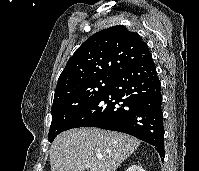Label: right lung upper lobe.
Wrapping results in <instances>:
<instances>
[{
    "mask_svg": "<svg viewBox=\"0 0 199 171\" xmlns=\"http://www.w3.org/2000/svg\"><path fill=\"white\" fill-rule=\"evenodd\" d=\"M151 56L147 44L123 25L101 30L89 37L68 60L59 76L54 100L81 83L100 76H117Z\"/></svg>",
    "mask_w": 199,
    "mask_h": 171,
    "instance_id": "1",
    "label": "right lung upper lobe"
}]
</instances>
